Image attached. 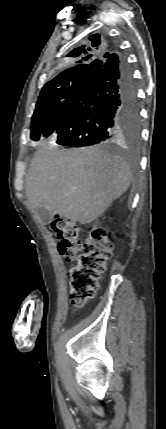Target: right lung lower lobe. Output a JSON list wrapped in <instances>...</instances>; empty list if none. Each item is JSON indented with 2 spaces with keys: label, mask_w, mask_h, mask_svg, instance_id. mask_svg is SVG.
I'll use <instances>...</instances> for the list:
<instances>
[{
  "label": "right lung lower lobe",
  "mask_w": 166,
  "mask_h": 429,
  "mask_svg": "<svg viewBox=\"0 0 166 429\" xmlns=\"http://www.w3.org/2000/svg\"><path fill=\"white\" fill-rule=\"evenodd\" d=\"M139 122L131 67L124 56L111 52L89 64L53 136L64 146L104 145L121 128Z\"/></svg>",
  "instance_id": "right-lung-lower-lobe-1"
}]
</instances>
